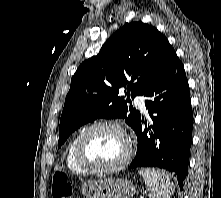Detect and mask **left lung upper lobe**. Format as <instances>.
Masks as SVG:
<instances>
[{
  "mask_svg": "<svg viewBox=\"0 0 221 198\" xmlns=\"http://www.w3.org/2000/svg\"><path fill=\"white\" fill-rule=\"evenodd\" d=\"M174 52L167 38L151 25L132 22L116 31L71 79L60 119L58 148L80 126L99 118H123L134 128L140 113L127 103L145 94ZM122 88L125 96L118 95Z\"/></svg>",
  "mask_w": 221,
  "mask_h": 198,
  "instance_id": "obj_1",
  "label": "left lung upper lobe"
}]
</instances>
